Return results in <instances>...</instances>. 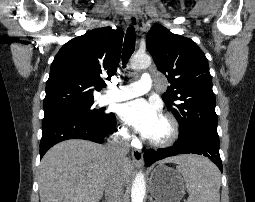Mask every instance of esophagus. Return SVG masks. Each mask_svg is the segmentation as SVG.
I'll return each mask as SVG.
<instances>
[{"instance_id": "esophagus-1", "label": "esophagus", "mask_w": 255, "mask_h": 202, "mask_svg": "<svg viewBox=\"0 0 255 202\" xmlns=\"http://www.w3.org/2000/svg\"><path fill=\"white\" fill-rule=\"evenodd\" d=\"M126 21L128 25L133 26L135 29L138 28V20L132 11L128 10L126 12ZM131 157L135 165H143V153L141 150L133 149L131 152Z\"/></svg>"}]
</instances>
